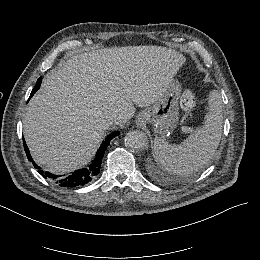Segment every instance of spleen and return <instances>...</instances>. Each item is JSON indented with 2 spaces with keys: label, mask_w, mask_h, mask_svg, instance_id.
Masks as SVG:
<instances>
[{
  "label": "spleen",
  "mask_w": 260,
  "mask_h": 260,
  "mask_svg": "<svg viewBox=\"0 0 260 260\" xmlns=\"http://www.w3.org/2000/svg\"><path fill=\"white\" fill-rule=\"evenodd\" d=\"M208 111L203 125L179 145H170L162 137L154 140V157L167 171L187 175L207 164L216 151L223 126L221 95L212 90L208 95Z\"/></svg>",
  "instance_id": "spleen-1"
}]
</instances>
